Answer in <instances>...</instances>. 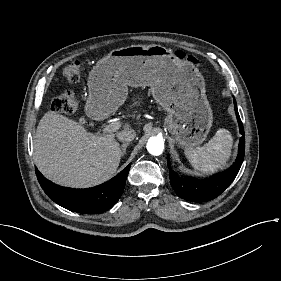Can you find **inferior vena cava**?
Returning a JSON list of instances; mask_svg holds the SVG:
<instances>
[{
  "instance_id": "1",
  "label": "inferior vena cava",
  "mask_w": 281,
  "mask_h": 281,
  "mask_svg": "<svg viewBox=\"0 0 281 281\" xmlns=\"http://www.w3.org/2000/svg\"><path fill=\"white\" fill-rule=\"evenodd\" d=\"M117 138L123 142L130 143L136 136L133 129H124L116 134Z\"/></svg>"
}]
</instances>
